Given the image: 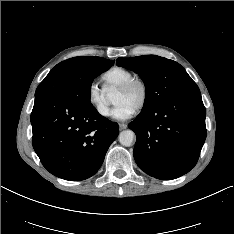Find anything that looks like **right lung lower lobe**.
Returning a JSON list of instances; mask_svg holds the SVG:
<instances>
[{
  "label": "right lung lower lobe",
  "instance_id": "1",
  "mask_svg": "<svg viewBox=\"0 0 234 234\" xmlns=\"http://www.w3.org/2000/svg\"><path fill=\"white\" fill-rule=\"evenodd\" d=\"M32 144L53 175L79 181L93 176L119 134V126L96 108L63 94L35 97Z\"/></svg>",
  "mask_w": 234,
  "mask_h": 234
}]
</instances>
